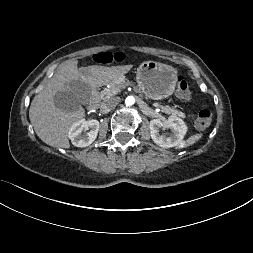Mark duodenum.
<instances>
[{
  "instance_id": "410a0bca",
  "label": "duodenum",
  "mask_w": 253,
  "mask_h": 253,
  "mask_svg": "<svg viewBox=\"0 0 253 253\" xmlns=\"http://www.w3.org/2000/svg\"><path fill=\"white\" fill-rule=\"evenodd\" d=\"M100 104V96H99V92L97 89L93 88L91 90V97L90 100L88 102V111H96L99 107Z\"/></svg>"
}]
</instances>
